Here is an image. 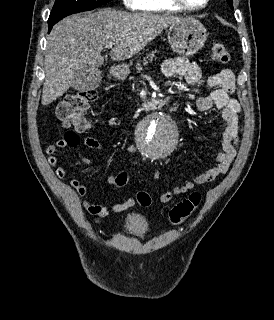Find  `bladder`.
I'll use <instances>...</instances> for the list:
<instances>
[{"mask_svg": "<svg viewBox=\"0 0 274 320\" xmlns=\"http://www.w3.org/2000/svg\"><path fill=\"white\" fill-rule=\"evenodd\" d=\"M125 230L133 235H141L148 230V222L143 216L132 214L126 220Z\"/></svg>", "mask_w": 274, "mask_h": 320, "instance_id": "bladder-1", "label": "bladder"}]
</instances>
